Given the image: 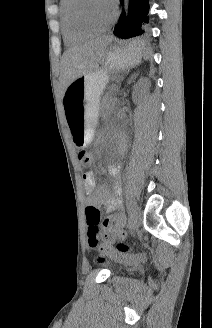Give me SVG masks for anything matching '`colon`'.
Wrapping results in <instances>:
<instances>
[{"label": "colon", "mask_w": 212, "mask_h": 328, "mask_svg": "<svg viewBox=\"0 0 212 328\" xmlns=\"http://www.w3.org/2000/svg\"><path fill=\"white\" fill-rule=\"evenodd\" d=\"M81 170H92L93 164L92 157L90 153H86V151H81L78 155ZM86 219L88 224L87 230V240L88 245L92 249L104 250L105 246L101 243L100 240V232L98 228L100 213L97 208L94 206L86 207ZM117 251V259L120 261L127 262H137L141 260L140 256H133L129 254V247L124 243H119L116 245ZM102 260V258H100Z\"/></svg>", "instance_id": "5ec220e1"}]
</instances>
